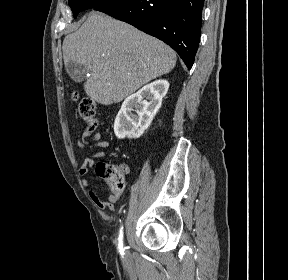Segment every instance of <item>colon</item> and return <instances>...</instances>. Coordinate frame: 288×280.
I'll list each match as a JSON object with an SVG mask.
<instances>
[{
    "label": "colon",
    "mask_w": 288,
    "mask_h": 280,
    "mask_svg": "<svg viewBox=\"0 0 288 280\" xmlns=\"http://www.w3.org/2000/svg\"><path fill=\"white\" fill-rule=\"evenodd\" d=\"M79 113L87 124L88 130L94 131L98 125L95 101L90 97L83 98L79 103ZM96 173L108 183L111 195L118 196L122 193L124 189V173L121 166L99 162L96 165Z\"/></svg>",
    "instance_id": "5ec220e1"
}]
</instances>
